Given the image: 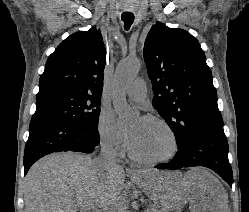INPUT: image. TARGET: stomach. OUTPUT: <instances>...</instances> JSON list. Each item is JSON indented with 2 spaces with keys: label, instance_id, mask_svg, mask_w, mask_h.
I'll return each mask as SVG.
<instances>
[{
  "label": "stomach",
  "instance_id": "0dacf381",
  "mask_svg": "<svg viewBox=\"0 0 249 212\" xmlns=\"http://www.w3.org/2000/svg\"><path fill=\"white\" fill-rule=\"evenodd\" d=\"M179 170H146V175H140L142 188L148 193V198L154 199V204H184L186 193L185 184L189 179H182ZM161 210H187V205H161Z\"/></svg>",
  "mask_w": 249,
  "mask_h": 212
}]
</instances>
